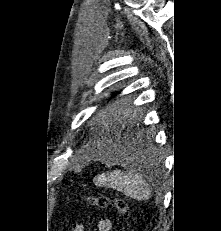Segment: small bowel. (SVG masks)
I'll return each mask as SVG.
<instances>
[{
    "mask_svg": "<svg viewBox=\"0 0 221 231\" xmlns=\"http://www.w3.org/2000/svg\"><path fill=\"white\" fill-rule=\"evenodd\" d=\"M111 229H112L111 220L108 218H103L99 220L97 227L94 231H111ZM74 231H84V228L82 225H77Z\"/></svg>",
    "mask_w": 221,
    "mask_h": 231,
    "instance_id": "obj_1",
    "label": "small bowel"
}]
</instances>
